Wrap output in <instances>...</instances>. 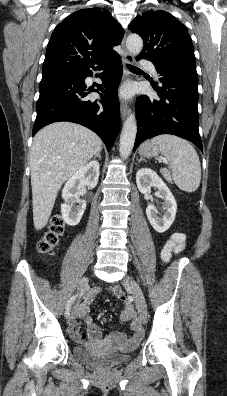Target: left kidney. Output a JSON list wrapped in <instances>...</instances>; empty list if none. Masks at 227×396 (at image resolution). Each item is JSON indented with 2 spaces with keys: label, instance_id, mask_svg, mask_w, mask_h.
I'll use <instances>...</instances> for the list:
<instances>
[{
  "label": "left kidney",
  "instance_id": "1",
  "mask_svg": "<svg viewBox=\"0 0 227 396\" xmlns=\"http://www.w3.org/2000/svg\"><path fill=\"white\" fill-rule=\"evenodd\" d=\"M136 183L139 191L145 195L150 194L152 187L158 188L159 194L164 200V214L162 217L157 216L155 206L148 204L146 215L150 224L157 232H165L174 222L177 212V203L173 194L158 174L149 168H141L138 170L136 174Z\"/></svg>",
  "mask_w": 227,
  "mask_h": 396
}]
</instances>
